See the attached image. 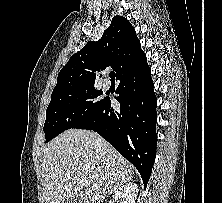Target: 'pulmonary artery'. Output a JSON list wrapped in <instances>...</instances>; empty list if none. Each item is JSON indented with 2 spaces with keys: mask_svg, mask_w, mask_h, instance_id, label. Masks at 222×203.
<instances>
[{
  "mask_svg": "<svg viewBox=\"0 0 222 203\" xmlns=\"http://www.w3.org/2000/svg\"><path fill=\"white\" fill-rule=\"evenodd\" d=\"M102 85L105 89H108V88H110L111 82L108 78H105L102 82Z\"/></svg>",
  "mask_w": 222,
  "mask_h": 203,
  "instance_id": "e3ab8cb5",
  "label": "pulmonary artery"
}]
</instances>
